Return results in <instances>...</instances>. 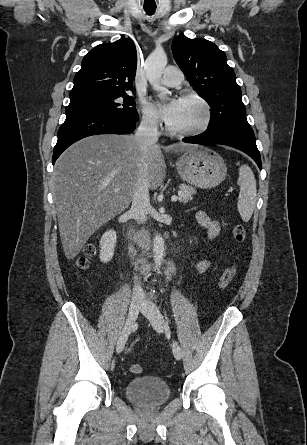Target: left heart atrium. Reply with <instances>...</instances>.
<instances>
[{
	"label": "left heart atrium",
	"instance_id": "39dd6f15",
	"mask_svg": "<svg viewBox=\"0 0 307 445\" xmlns=\"http://www.w3.org/2000/svg\"><path fill=\"white\" fill-rule=\"evenodd\" d=\"M182 99L172 97H156L152 104L155 106L162 118L169 124L176 118Z\"/></svg>",
	"mask_w": 307,
	"mask_h": 445
}]
</instances>
